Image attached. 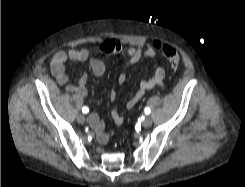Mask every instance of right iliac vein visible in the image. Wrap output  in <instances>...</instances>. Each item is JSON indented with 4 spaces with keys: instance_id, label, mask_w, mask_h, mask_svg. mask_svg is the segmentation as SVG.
Returning <instances> with one entry per match:
<instances>
[{
    "instance_id": "1",
    "label": "right iliac vein",
    "mask_w": 245,
    "mask_h": 187,
    "mask_svg": "<svg viewBox=\"0 0 245 187\" xmlns=\"http://www.w3.org/2000/svg\"><path fill=\"white\" fill-rule=\"evenodd\" d=\"M77 121H78V123L83 124L85 122L84 115H78L77 116Z\"/></svg>"
}]
</instances>
